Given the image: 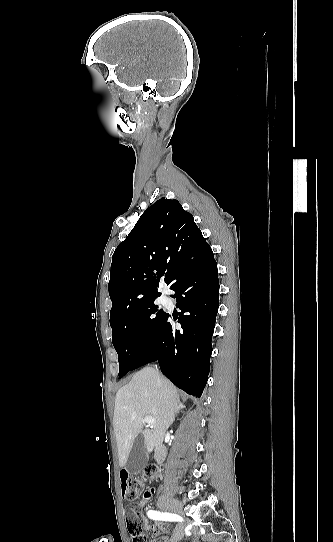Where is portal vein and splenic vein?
Returning <instances> with one entry per match:
<instances>
[{
	"label": "portal vein and splenic vein",
	"mask_w": 333,
	"mask_h": 542,
	"mask_svg": "<svg viewBox=\"0 0 333 542\" xmlns=\"http://www.w3.org/2000/svg\"><path fill=\"white\" fill-rule=\"evenodd\" d=\"M143 422H145V424H148V426H154V424H155V420H154V418H152V416H146V418H144Z\"/></svg>",
	"instance_id": "18ae733b"
}]
</instances>
